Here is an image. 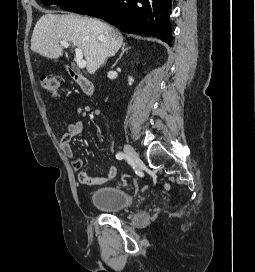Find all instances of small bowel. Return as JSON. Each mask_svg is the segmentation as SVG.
I'll use <instances>...</instances> for the list:
<instances>
[{
  "label": "small bowel",
  "instance_id": "obj_1",
  "mask_svg": "<svg viewBox=\"0 0 255 272\" xmlns=\"http://www.w3.org/2000/svg\"><path fill=\"white\" fill-rule=\"evenodd\" d=\"M84 130L82 121L71 122L67 125L66 131L60 139V148L62 152L70 160L73 168L79 170L82 167L81 159L75 154L71 147V140L80 135ZM117 175V167L112 165L108 172L102 176H91L86 171H81L78 175L79 182L88 186H99L113 180Z\"/></svg>",
  "mask_w": 255,
  "mask_h": 272
}]
</instances>
